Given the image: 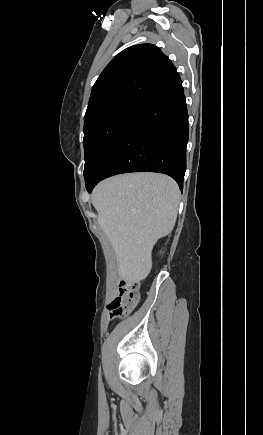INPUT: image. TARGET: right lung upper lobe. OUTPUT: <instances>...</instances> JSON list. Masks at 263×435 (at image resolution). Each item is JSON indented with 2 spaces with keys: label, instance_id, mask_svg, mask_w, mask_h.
Here are the masks:
<instances>
[{
  "label": "right lung upper lobe",
  "instance_id": "obj_1",
  "mask_svg": "<svg viewBox=\"0 0 263 435\" xmlns=\"http://www.w3.org/2000/svg\"><path fill=\"white\" fill-rule=\"evenodd\" d=\"M177 76L175 66L158 47L131 46L115 56L95 82L85 118L101 105L123 100L145 103Z\"/></svg>",
  "mask_w": 263,
  "mask_h": 435
}]
</instances>
